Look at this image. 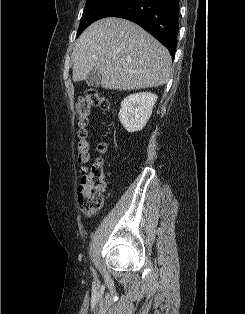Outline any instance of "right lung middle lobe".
<instances>
[{"instance_id":"1","label":"right lung middle lobe","mask_w":245,"mask_h":314,"mask_svg":"<svg viewBox=\"0 0 245 314\" xmlns=\"http://www.w3.org/2000/svg\"><path fill=\"white\" fill-rule=\"evenodd\" d=\"M127 0H87L80 21L77 37L93 22L104 16Z\"/></svg>"}]
</instances>
